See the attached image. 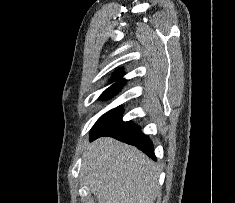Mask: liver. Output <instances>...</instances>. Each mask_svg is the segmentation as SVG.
I'll return each instance as SVG.
<instances>
[{
	"label": "liver",
	"instance_id": "6515ba94",
	"mask_svg": "<svg viewBox=\"0 0 235 203\" xmlns=\"http://www.w3.org/2000/svg\"><path fill=\"white\" fill-rule=\"evenodd\" d=\"M81 175L99 203H154L155 163L137 148L102 137L84 150Z\"/></svg>",
	"mask_w": 235,
	"mask_h": 203
}]
</instances>
